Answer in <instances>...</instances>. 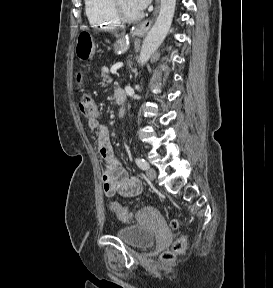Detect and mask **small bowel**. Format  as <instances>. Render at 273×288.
Listing matches in <instances>:
<instances>
[{
	"mask_svg": "<svg viewBox=\"0 0 273 288\" xmlns=\"http://www.w3.org/2000/svg\"><path fill=\"white\" fill-rule=\"evenodd\" d=\"M88 127L95 131L99 153L103 159V191L108 197L119 194L123 197H134L141 193V181L128 175L117 159L109 142V133L105 124L90 120Z\"/></svg>",
	"mask_w": 273,
	"mask_h": 288,
	"instance_id": "small-bowel-1",
	"label": "small bowel"
}]
</instances>
